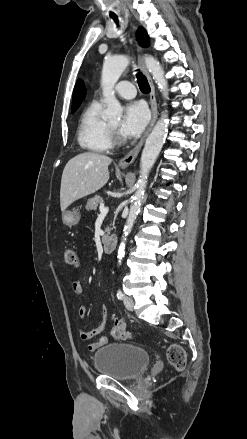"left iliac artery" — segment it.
Instances as JSON below:
<instances>
[{
	"mask_svg": "<svg viewBox=\"0 0 247 439\" xmlns=\"http://www.w3.org/2000/svg\"><path fill=\"white\" fill-rule=\"evenodd\" d=\"M123 293H122V291L121 290H118V292H117V298H118V300H122L123 299Z\"/></svg>",
	"mask_w": 247,
	"mask_h": 439,
	"instance_id": "44dca946",
	"label": "left iliac artery"
}]
</instances>
